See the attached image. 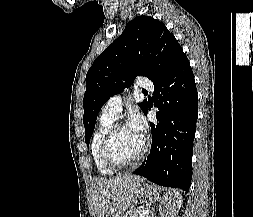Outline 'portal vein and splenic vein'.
Listing matches in <instances>:
<instances>
[{
    "mask_svg": "<svg viewBox=\"0 0 253 217\" xmlns=\"http://www.w3.org/2000/svg\"><path fill=\"white\" fill-rule=\"evenodd\" d=\"M148 213H149V209L146 208V209H144V210L141 211L140 217H146V215H147Z\"/></svg>",
    "mask_w": 253,
    "mask_h": 217,
    "instance_id": "portal-vein-and-splenic-vein-1",
    "label": "portal vein and splenic vein"
}]
</instances>
